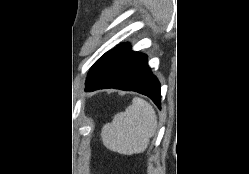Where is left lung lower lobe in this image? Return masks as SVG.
<instances>
[{"instance_id": "0a47b994", "label": "left lung lower lobe", "mask_w": 249, "mask_h": 174, "mask_svg": "<svg viewBox=\"0 0 249 174\" xmlns=\"http://www.w3.org/2000/svg\"><path fill=\"white\" fill-rule=\"evenodd\" d=\"M86 91L116 88L147 95L160 107V83L147 65L144 54L131 51L123 44L110 61L94 76L87 78Z\"/></svg>"}]
</instances>
